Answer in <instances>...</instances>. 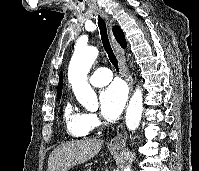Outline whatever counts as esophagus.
Listing matches in <instances>:
<instances>
[{
    "mask_svg": "<svg viewBox=\"0 0 199 171\" xmlns=\"http://www.w3.org/2000/svg\"><path fill=\"white\" fill-rule=\"evenodd\" d=\"M101 15L105 18L109 28H111L112 26V19L109 17V15L105 12H101ZM112 45L113 48L115 50V53L117 55V58L119 60V64H120V68L121 71L123 73V76L128 84L129 87V94L131 95L132 90H133V79L130 75V72L128 70V67L126 65V61H125V56H124V52L121 49L120 45L117 43V41L114 39V37L112 36ZM117 135L112 138L109 142V146L114 147V148H121L124 147L126 145V141L128 138L127 132L125 130L124 124L121 123L118 127H117Z\"/></svg>",
    "mask_w": 199,
    "mask_h": 171,
    "instance_id": "esophagus-1",
    "label": "esophagus"
}]
</instances>
